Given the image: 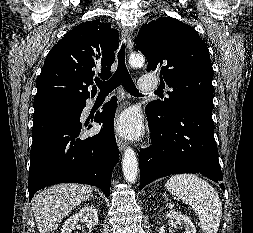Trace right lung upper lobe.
Listing matches in <instances>:
<instances>
[{"label": "right lung upper lobe", "mask_w": 253, "mask_h": 233, "mask_svg": "<svg viewBox=\"0 0 253 233\" xmlns=\"http://www.w3.org/2000/svg\"><path fill=\"white\" fill-rule=\"evenodd\" d=\"M119 34L100 19L87 21L70 30L48 53L36 81L34 104L54 99L83 101L91 93L88 86L98 72L111 76V65L119 46Z\"/></svg>", "instance_id": "obj_1"}]
</instances>
